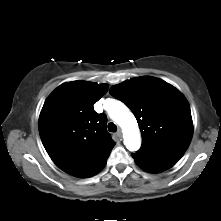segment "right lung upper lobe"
<instances>
[{"label":"right lung upper lobe","instance_id":"obj_1","mask_svg":"<svg viewBox=\"0 0 221 221\" xmlns=\"http://www.w3.org/2000/svg\"><path fill=\"white\" fill-rule=\"evenodd\" d=\"M108 91V84L73 81L56 88L39 117L42 143L53 162L78 176L104 163L115 142L107 132L105 114L93 105Z\"/></svg>","mask_w":221,"mask_h":221}]
</instances>
